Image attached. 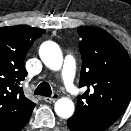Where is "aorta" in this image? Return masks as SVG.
Here are the masks:
<instances>
[{"label":"aorta","mask_w":131,"mask_h":131,"mask_svg":"<svg viewBox=\"0 0 131 131\" xmlns=\"http://www.w3.org/2000/svg\"><path fill=\"white\" fill-rule=\"evenodd\" d=\"M43 63L52 70H59L62 66L63 56L59 46L52 42H44L39 50ZM55 112L61 118H69L74 113V103L66 97L60 98L55 103Z\"/></svg>","instance_id":"1"}]
</instances>
